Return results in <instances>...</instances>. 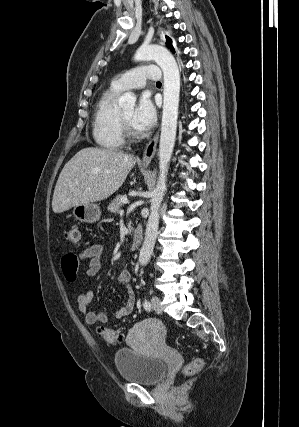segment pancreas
Masks as SVG:
<instances>
[{"label": "pancreas", "mask_w": 299, "mask_h": 427, "mask_svg": "<svg viewBox=\"0 0 299 427\" xmlns=\"http://www.w3.org/2000/svg\"><path fill=\"white\" fill-rule=\"evenodd\" d=\"M122 198H124V196L119 195L115 199H113L108 206V211L111 213H118L123 204L121 201ZM128 229H129V233L131 234V232L133 231V228L131 227V222H129L128 224Z\"/></svg>", "instance_id": "obj_1"}]
</instances>
